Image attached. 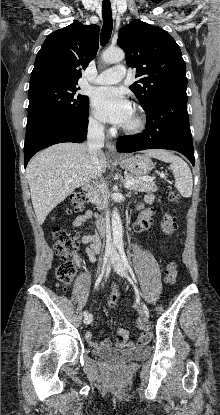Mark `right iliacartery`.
Listing matches in <instances>:
<instances>
[{"label": "right iliac artery", "instance_id": "obj_1", "mask_svg": "<svg viewBox=\"0 0 220 415\" xmlns=\"http://www.w3.org/2000/svg\"><path fill=\"white\" fill-rule=\"evenodd\" d=\"M103 274H104V271H103V272L99 275V277L97 278L96 283H95V288H97V287H98V285H99V283L101 282L102 277H103ZM83 315H84V317L88 316V312H87V311H84V312H83Z\"/></svg>", "mask_w": 220, "mask_h": 415}]
</instances>
